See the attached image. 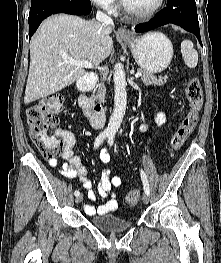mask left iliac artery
<instances>
[{
  "label": "left iliac artery",
  "mask_w": 221,
  "mask_h": 263,
  "mask_svg": "<svg viewBox=\"0 0 221 263\" xmlns=\"http://www.w3.org/2000/svg\"><path fill=\"white\" fill-rule=\"evenodd\" d=\"M114 138H115V134L114 133H111V134H108V144L110 146L113 145L114 143ZM141 179H142V182H143V188H144V192L149 195L150 194V189H149V184H148V180H147V177L144 173L143 170H141Z\"/></svg>",
  "instance_id": "obj_1"
}]
</instances>
